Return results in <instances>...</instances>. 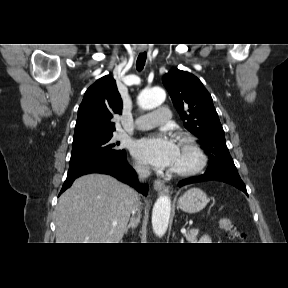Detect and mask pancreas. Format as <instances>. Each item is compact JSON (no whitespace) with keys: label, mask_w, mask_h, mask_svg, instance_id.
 <instances>
[{"label":"pancreas","mask_w":288,"mask_h":288,"mask_svg":"<svg viewBox=\"0 0 288 288\" xmlns=\"http://www.w3.org/2000/svg\"><path fill=\"white\" fill-rule=\"evenodd\" d=\"M198 234V229H191L188 231V233L185 234L186 240L189 241V243H196Z\"/></svg>","instance_id":"obj_1"}]
</instances>
